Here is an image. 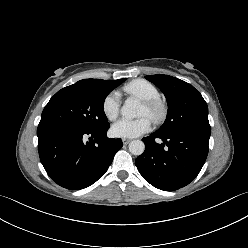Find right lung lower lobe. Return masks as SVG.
<instances>
[{
	"instance_id": "1",
	"label": "right lung lower lobe",
	"mask_w": 248,
	"mask_h": 248,
	"mask_svg": "<svg viewBox=\"0 0 248 248\" xmlns=\"http://www.w3.org/2000/svg\"><path fill=\"white\" fill-rule=\"evenodd\" d=\"M109 127L86 131L64 123L39 124V156L51 179L66 189L79 190L103 176L123 146L121 139L106 137Z\"/></svg>"
}]
</instances>
